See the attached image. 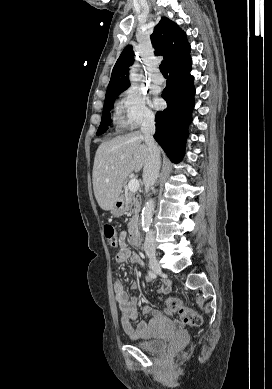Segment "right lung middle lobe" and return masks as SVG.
<instances>
[{"mask_svg": "<svg viewBox=\"0 0 272 389\" xmlns=\"http://www.w3.org/2000/svg\"><path fill=\"white\" fill-rule=\"evenodd\" d=\"M121 92H123V91L115 92V93L109 94L105 97V103H104L103 113H102V120H101L100 126L98 128L97 135H100L107 130V127L111 121L110 110L113 106L114 98L117 95H119Z\"/></svg>", "mask_w": 272, "mask_h": 389, "instance_id": "1", "label": "right lung middle lobe"}]
</instances>
